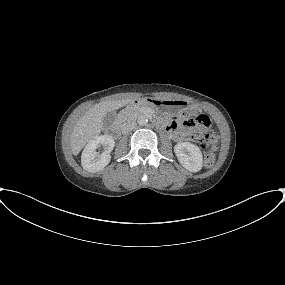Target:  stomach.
Masks as SVG:
<instances>
[{
  "label": "stomach",
  "mask_w": 285,
  "mask_h": 285,
  "mask_svg": "<svg viewBox=\"0 0 285 285\" xmlns=\"http://www.w3.org/2000/svg\"><path fill=\"white\" fill-rule=\"evenodd\" d=\"M139 104L150 107L160 113H176L191 108L188 101L181 99H157L150 97L142 99Z\"/></svg>",
  "instance_id": "1"
}]
</instances>
